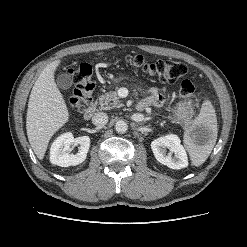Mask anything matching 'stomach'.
I'll return each instance as SVG.
<instances>
[{
	"label": "stomach",
	"instance_id": "1",
	"mask_svg": "<svg viewBox=\"0 0 247 247\" xmlns=\"http://www.w3.org/2000/svg\"><path fill=\"white\" fill-rule=\"evenodd\" d=\"M185 122L186 131H190L191 133L196 130L199 126L194 125V121L188 117H182Z\"/></svg>",
	"mask_w": 247,
	"mask_h": 247
}]
</instances>
